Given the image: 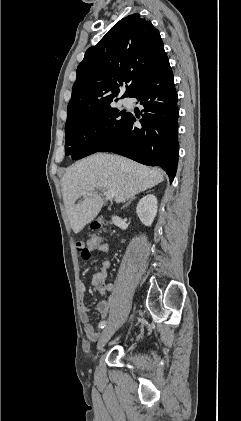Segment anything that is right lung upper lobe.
I'll return each mask as SVG.
<instances>
[{
    "instance_id": "cb5924a9",
    "label": "right lung upper lobe",
    "mask_w": 241,
    "mask_h": 421,
    "mask_svg": "<svg viewBox=\"0 0 241 421\" xmlns=\"http://www.w3.org/2000/svg\"><path fill=\"white\" fill-rule=\"evenodd\" d=\"M165 57L159 31L150 21L139 14L120 20L78 65L66 125L110 107L123 82L130 85L122 98L130 97Z\"/></svg>"
}]
</instances>
